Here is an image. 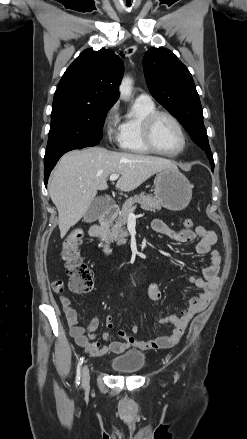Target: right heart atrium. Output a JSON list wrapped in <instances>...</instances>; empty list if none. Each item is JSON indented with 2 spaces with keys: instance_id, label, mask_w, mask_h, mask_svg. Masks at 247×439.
<instances>
[{
  "instance_id": "1",
  "label": "right heart atrium",
  "mask_w": 247,
  "mask_h": 439,
  "mask_svg": "<svg viewBox=\"0 0 247 439\" xmlns=\"http://www.w3.org/2000/svg\"><path fill=\"white\" fill-rule=\"evenodd\" d=\"M106 140L109 144H119L121 138V124L118 117L117 104L112 105L105 113L102 123Z\"/></svg>"
}]
</instances>
